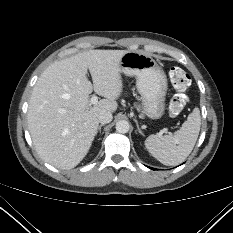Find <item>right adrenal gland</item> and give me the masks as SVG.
<instances>
[{"instance_id":"obj_1","label":"right adrenal gland","mask_w":233,"mask_h":233,"mask_svg":"<svg viewBox=\"0 0 233 233\" xmlns=\"http://www.w3.org/2000/svg\"><path fill=\"white\" fill-rule=\"evenodd\" d=\"M102 124L101 125H99V127H98V131L97 132H99L100 134H101V128H102ZM100 140V139H99Z\"/></svg>"}]
</instances>
